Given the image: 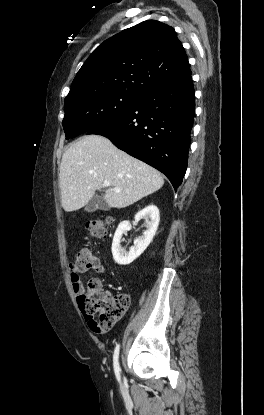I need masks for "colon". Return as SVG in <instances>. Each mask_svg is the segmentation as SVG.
I'll use <instances>...</instances> for the list:
<instances>
[{
	"instance_id": "colon-1",
	"label": "colon",
	"mask_w": 264,
	"mask_h": 415,
	"mask_svg": "<svg viewBox=\"0 0 264 415\" xmlns=\"http://www.w3.org/2000/svg\"><path fill=\"white\" fill-rule=\"evenodd\" d=\"M86 231L94 239L106 236V227L100 220L88 221ZM96 265L97 260L92 251L84 249L70 263V270L76 272L82 268L93 269ZM78 304L92 329H109L128 310L130 297L127 293H110L104 289L100 278H92L82 289Z\"/></svg>"
}]
</instances>
